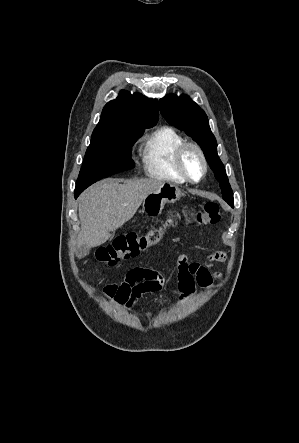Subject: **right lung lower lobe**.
<instances>
[{
	"label": "right lung lower lobe",
	"instance_id": "1",
	"mask_svg": "<svg viewBox=\"0 0 299 443\" xmlns=\"http://www.w3.org/2000/svg\"><path fill=\"white\" fill-rule=\"evenodd\" d=\"M80 195V192L75 193V198H77Z\"/></svg>",
	"mask_w": 299,
	"mask_h": 443
}]
</instances>
